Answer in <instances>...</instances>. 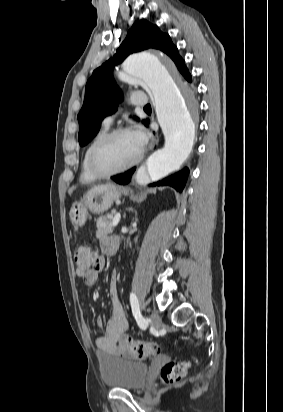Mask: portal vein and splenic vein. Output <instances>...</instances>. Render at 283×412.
<instances>
[{"mask_svg": "<svg viewBox=\"0 0 283 412\" xmlns=\"http://www.w3.org/2000/svg\"><path fill=\"white\" fill-rule=\"evenodd\" d=\"M120 219H121V215H120L119 213L116 214V215L114 216V218L112 219L111 226H112V227L117 226L118 223L120 222Z\"/></svg>", "mask_w": 283, "mask_h": 412, "instance_id": "obj_1", "label": "portal vein and splenic vein"}]
</instances>
